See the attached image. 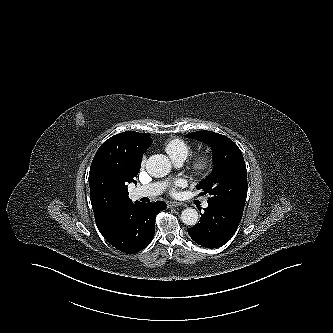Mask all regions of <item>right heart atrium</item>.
I'll return each mask as SVG.
<instances>
[{
    "label": "right heart atrium",
    "instance_id": "d8ad5b80",
    "mask_svg": "<svg viewBox=\"0 0 333 333\" xmlns=\"http://www.w3.org/2000/svg\"><path fill=\"white\" fill-rule=\"evenodd\" d=\"M145 161H146V158H145V157H143V158H142V160H141V165H142V166H144V164H145Z\"/></svg>",
    "mask_w": 333,
    "mask_h": 333
}]
</instances>
